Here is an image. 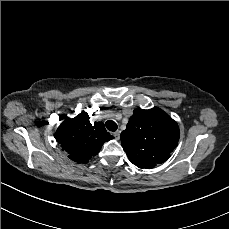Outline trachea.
Here are the masks:
<instances>
[{
	"label": "trachea",
	"instance_id": "3493384b",
	"mask_svg": "<svg viewBox=\"0 0 229 229\" xmlns=\"http://www.w3.org/2000/svg\"><path fill=\"white\" fill-rule=\"evenodd\" d=\"M106 128L109 130V131H116L118 126L116 124V122H114L113 120H107L106 121Z\"/></svg>",
	"mask_w": 229,
	"mask_h": 229
}]
</instances>
